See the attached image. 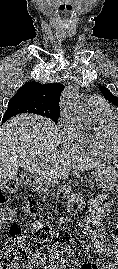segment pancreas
<instances>
[{"label":"pancreas","instance_id":"obj_1","mask_svg":"<svg viewBox=\"0 0 118 269\" xmlns=\"http://www.w3.org/2000/svg\"><path fill=\"white\" fill-rule=\"evenodd\" d=\"M34 187L36 190L39 191H47L51 187V181L48 179H40L38 182L34 183ZM87 192H92L93 188L92 187H87L86 188ZM69 199V197H67Z\"/></svg>","mask_w":118,"mask_h":269}]
</instances>
